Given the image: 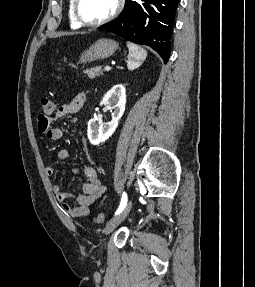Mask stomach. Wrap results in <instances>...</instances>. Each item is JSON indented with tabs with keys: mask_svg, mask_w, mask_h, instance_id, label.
<instances>
[{
	"mask_svg": "<svg viewBox=\"0 0 255 287\" xmlns=\"http://www.w3.org/2000/svg\"><path fill=\"white\" fill-rule=\"evenodd\" d=\"M116 50H118L117 42L101 38V40H97V42L91 44L89 50H85L81 54L79 62L84 64V62H94V60H105V58L113 56Z\"/></svg>",
	"mask_w": 255,
	"mask_h": 287,
	"instance_id": "1",
	"label": "stomach"
}]
</instances>
